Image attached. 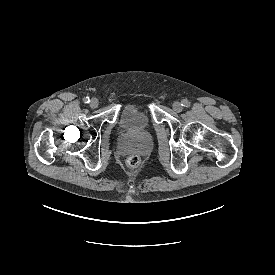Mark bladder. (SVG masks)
Segmentation results:
<instances>
[{"mask_svg": "<svg viewBox=\"0 0 275 275\" xmlns=\"http://www.w3.org/2000/svg\"><path fill=\"white\" fill-rule=\"evenodd\" d=\"M117 125L126 132H148L152 124L145 105L133 103L120 108L117 116Z\"/></svg>", "mask_w": 275, "mask_h": 275, "instance_id": "1", "label": "bladder"}]
</instances>
